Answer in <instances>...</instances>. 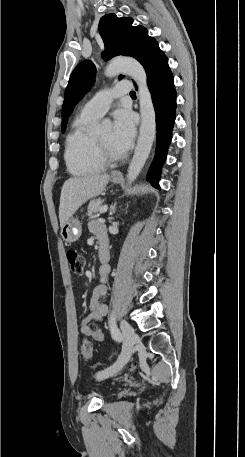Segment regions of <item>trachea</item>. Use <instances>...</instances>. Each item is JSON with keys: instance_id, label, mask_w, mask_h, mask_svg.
Here are the masks:
<instances>
[{"instance_id": "1", "label": "trachea", "mask_w": 245, "mask_h": 457, "mask_svg": "<svg viewBox=\"0 0 245 457\" xmlns=\"http://www.w3.org/2000/svg\"><path fill=\"white\" fill-rule=\"evenodd\" d=\"M130 95H135V92H133V91H132V92H130Z\"/></svg>"}]
</instances>
